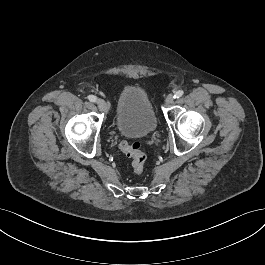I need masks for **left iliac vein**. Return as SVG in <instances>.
Returning <instances> with one entry per match:
<instances>
[{"instance_id": "1", "label": "left iliac vein", "mask_w": 265, "mask_h": 265, "mask_svg": "<svg viewBox=\"0 0 265 265\" xmlns=\"http://www.w3.org/2000/svg\"><path fill=\"white\" fill-rule=\"evenodd\" d=\"M174 101V96L172 94H169L167 97H166V100H165V104L166 105H169L171 103H173Z\"/></svg>"}]
</instances>
